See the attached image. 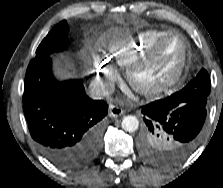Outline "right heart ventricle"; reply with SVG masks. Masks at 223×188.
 I'll list each match as a JSON object with an SVG mask.
<instances>
[{
	"label": "right heart ventricle",
	"instance_id": "e07e8e85",
	"mask_svg": "<svg viewBox=\"0 0 223 188\" xmlns=\"http://www.w3.org/2000/svg\"><path fill=\"white\" fill-rule=\"evenodd\" d=\"M170 31L147 29L136 34L128 43H110L106 56L112 63L127 68L145 54L162 36Z\"/></svg>",
	"mask_w": 223,
	"mask_h": 188
}]
</instances>
